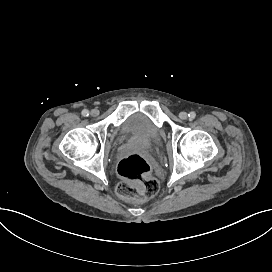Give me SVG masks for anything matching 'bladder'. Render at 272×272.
Returning a JSON list of instances; mask_svg holds the SVG:
<instances>
[{
	"label": "bladder",
	"instance_id": "bladder-1",
	"mask_svg": "<svg viewBox=\"0 0 272 272\" xmlns=\"http://www.w3.org/2000/svg\"><path fill=\"white\" fill-rule=\"evenodd\" d=\"M127 141L156 146L162 142L161 131L150 119L135 114L128 117L119 129L118 142Z\"/></svg>",
	"mask_w": 272,
	"mask_h": 272
}]
</instances>
